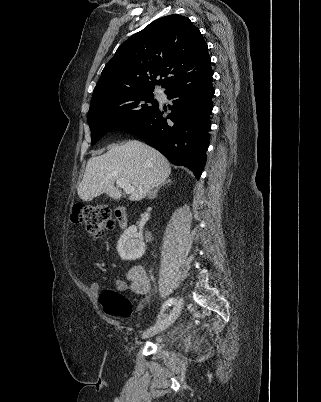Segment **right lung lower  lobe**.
Segmentation results:
<instances>
[{
    "mask_svg": "<svg viewBox=\"0 0 321 402\" xmlns=\"http://www.w3.org/2000/svg\"><path fill=\"white\" fill-rule=\"evenodd\" d=\"M212 75L209 64L174 80L165 87L168 98L173 99L167 118L158 106L148 116L119 129L136 135L175 165L186 166L199 179L209 146Z\"/></svg>",
    "mask_w": 321,
    "mask_h": 402,
    "instance_id": "right-lung-lower-lobe-1",
    "label": "right lung lower lobe"
}]
</instances>
